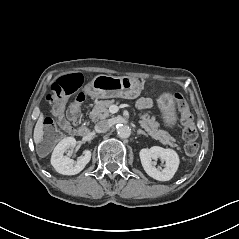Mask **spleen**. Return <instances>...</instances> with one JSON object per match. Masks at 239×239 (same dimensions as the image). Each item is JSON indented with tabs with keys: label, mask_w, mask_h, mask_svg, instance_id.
<instances>
[{
	"label": "spleen",
	"mask_w": 239,
	"mask_h": 239,
	"mask_svg": "<svg viewBox=\"0 0 239 239\" xmlns=\"http://www.w3.org/2000/svg\"><path fill=\"white\" fill-rule=\"evenodd\" d=\"M188 165L192 166L193 165V161L192 160L188 161Z\"/></svg>",
	"instance_id": "obj_1"
}]
</instances>
